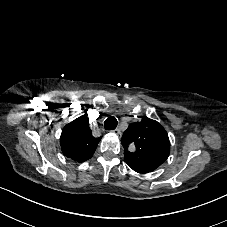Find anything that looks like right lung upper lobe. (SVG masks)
I'll list each match as a JSON object with an SVG mask.
<instances>
[{
  "mask_svg": "<svg viewBox=\"0 0 227 227\" xmlns=\"http://www.w3.org/2000/svg\"><path fill=\"white\" fill-rule=\"evenodd\" d=\"M101 140L92 136L86 115L80 116L67 124L61 133L60 145L63 154L77 162L90 159Z\"/></svg>",
  "mask_w": 227,
  "mask_h": 227,
  "instance_id": "obj_1",
  "label": "right lung upper lobe"
}]
</instances>
